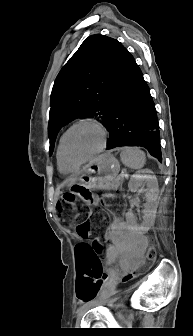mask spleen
Here are the masks:
<instances>
[{
  "label": "spleen",
  "mask_w": 193,
  "mask_h": 336,
  "mask_svg": "<svg viewBox=\"0 0 193 336\" xmlns=\"http://www.w3.org/2000/svg\"><path fill=\"white\" fill-rule=\"evenodd\" d=\"M120 157L123 164L132 169H141L146 161L145 153L135 147L122 148Z\"/></svg>",
  "instance_id": "3e777b00"
}]
</instances>
